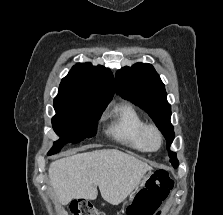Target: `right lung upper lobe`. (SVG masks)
Segmentation results:
<instances>
[{"mask_svg":"<svg viewBox=\"0 0 223 215\" xmlns=\"http://www.w3.org/2000/svg\"><path fill=\"white\" fill-rule=\"evenodd\" d=\"M114 95V77L104 66L77 63L59 86L54 106L105 108Z\"/></svg>","mask_w":223,"mask_h":215,"instance_id":"right-lung-upper-lobe-1","label":"right lung upper lobe"}]
</instances>
